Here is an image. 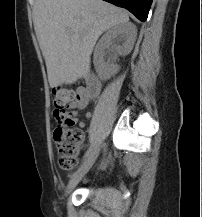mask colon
Instances as JSON below:
<instances>
[{
	"label": "colon",
	"mask_w": 202,
	"mask_h": 217,
	"mask_svg": "<svg viewBox=\"0 0 202 217\" xmlns=\"http://www.w3.org/2000/svg\"><path fill=\"white\" fill-rule=\"evenodd\" d=\"M79 100L80 94L75 90L58 88L54 91V115L57 119L54 141L59 166L66 171H71L77 166V155L84 141L83 130L70 121L68 112Z\"/></svg>",
	"instance_id": "1"
}]
</instances>
